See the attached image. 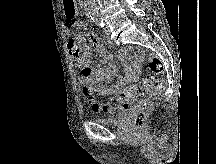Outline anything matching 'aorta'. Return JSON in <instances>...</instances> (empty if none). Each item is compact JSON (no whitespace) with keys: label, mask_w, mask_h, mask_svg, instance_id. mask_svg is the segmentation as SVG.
Segmentation results:
<instances>
[{"label":"aorta","mask_w":216,"mask_h":164,"mask_svg":"<svg viewBox=\"0 0 216 164\" xmlns=\"http://www.w3.org/2000/svg\"><path fill=\"white\" fill-rule=\"evenodd\" d=\"M87 6H88L89 14L94 17L97 11L96 0H87Z\"/></svg>","instance_id":"762f6f07"}]
</instances>
